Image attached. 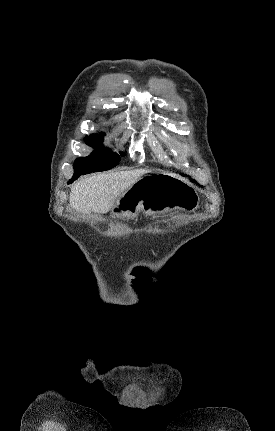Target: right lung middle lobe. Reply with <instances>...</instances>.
Segmentation results:
<instances>
[{
  "label": "right lung middle lobe",
  "mask_w": 275,
  "mask_h": 431,
  "mask_svg": "<svg viewBox=\"0 0 275 431\" xmlns=\"http://www.w3.org/2000/svg\"><path fill=\"white\" fill-rule=\"evenodd\" d=\"M103 135L104 133L91 134L85 137V142L91 147L100 148L102 147ZM121 155L124 156L125 154ZM119 161L120 156L109 149L95 151L92 156L80 157L75 160L72 178L76 179L80 175L109 170L118 165Z\"/></svg>",
  "instance_id": "1"
}]
</instances>
